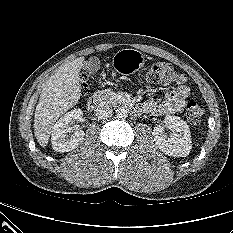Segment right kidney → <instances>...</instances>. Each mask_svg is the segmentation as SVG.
Instances as JSON below:
<instances>
[{
	"mask_svg": "<svg viewBox=\"0 0 233 233\" xmlns=\"http://www.w3.org/2000/svg\"><path fill=\"white\" fill-rule=\"evenodd\" d=\"M81 109H74L64 114L53 126L51 143L53 150L64 153L75 149L84 139V131L71 127L73 121L82 119Z\"/></svg>",
	"mask_w": 233,
	"mask_h": 233,
	"instance_id": "right-kidney-1",
	"label": "right kidney"
}]
</instances>
